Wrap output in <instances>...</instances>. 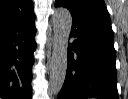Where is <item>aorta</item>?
<instances>
[{"mask_svg":"<svg viewBox=\"0 0 128 99\" xmlns=\"http://www.w3.org/2000/svg\"><path fill=\"white\" fill-rule=\"evenodd\" d=\"M52 20L54 37L48 89L51 96L60 92L65 80L72 16L66 8H58Z\"/></svg>","mask_w":128,"mask_h":99,"instance_id":"obj_1","label":"aorta"}]
</instances>
